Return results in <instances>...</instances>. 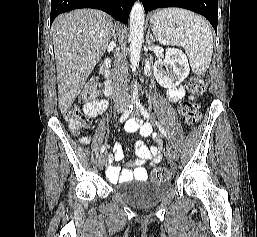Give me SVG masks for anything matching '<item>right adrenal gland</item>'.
<instances>
[{
	"instance_id": "obj_1",
	"label": "right adrenal gland",
	"mask_w": 257,
	"mask_h": 237,
	"mask_svg": "<svg viewBox=\"0 0 257 237\" xmlns=\"http://www.w3.org/2000/svg\"><path fill=\"white\" fill-rule=\"evenodd\" d=\"M114 39L116 40V34H114Z\"/></svg>"
}]
</instances>
